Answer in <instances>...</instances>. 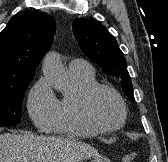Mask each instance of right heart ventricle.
<instances>
[{
  "label": "right heart ventricle",
  "instance_id": "obj_1",
  "mask_svg": "<svg viewBox=\"0 0 168 162\" xmlns=\"http://www.w3.org/2000/svg\"><path fill=\"white\" fill-rule=\"evenodd\" d=\"M74 91L72 95L64 96L59 101V118L51 131L58 135L71 137H85L95 135L98 131L91 128L81 118L78 102L85 89L93 85L94 74L78 75L70 73Z\"/></svg>",
  "mask_w": 168,
  "mask_h": 162
}]
</instances>
